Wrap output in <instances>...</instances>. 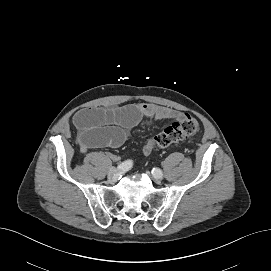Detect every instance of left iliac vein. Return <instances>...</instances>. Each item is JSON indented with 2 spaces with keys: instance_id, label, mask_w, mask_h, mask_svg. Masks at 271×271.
Wrapping results in <instances>:
<instances>
[{
  "instance_id": "4c4485c4",
  "label": "left iliac vein",
  "mask_w": 271,
  "mask_h": 271,
  "mask_svg": "<svg viewBox=\"0 0 271 271\" xmlns=\"http://www.w3.org/2000/svg\"><path fill=\"white\" fill-rule=\"evenodd\" d=\"M153 179H154V181H155L156 183H159V182H161V180H162V176H154V175H153Z\"/></svg>"
}]
</instances>
